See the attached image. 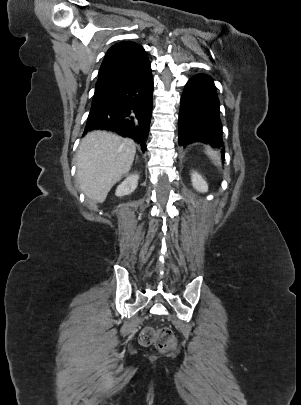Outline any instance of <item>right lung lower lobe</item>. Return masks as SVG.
<instances>
[{"label":"right lung lower lobe","instance_id":"1","mask_svg":"<svg viewBox=\"0 0 301 405\" xmlns=\"http://www.w3.org/2000/svg\"><path fill=\"white\" fill-rule=\"evenodd\" d=\"M153 78L145 60L126 80L93 104L84 134L92 130L114 131L146 149L152 115Z\"/></svg>","mask_w":301,"mask_h":405}]
</instances>
